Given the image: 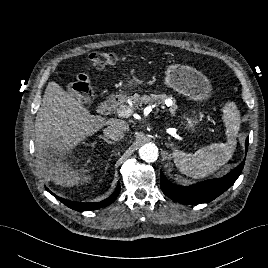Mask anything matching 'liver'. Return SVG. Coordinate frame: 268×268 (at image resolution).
Returning a JSON list of instances; mask_svg holds the SVG:
<instances>
[{
    "mask_svg": "<svg viewBox=\"0 0 268 268\" xmlns=\"http://www.w3.org/2000/svg\"><path fill=\"white\" fill-rule=\"evenodd\" d=\"M112 124H119L128 130L124 120H107L91 114L80 100L64 91L56 82H49L35 120V150L47 178L67 187L91 181L92 175L85 176L88 170L84 167L75 171L67 162L61 161L87 137ZM48 150H53L58 159L54 158L56 162H52L53 158L49 156L47 165L45 157L48 156Z\"/></svg>",
    "mask_w": 268,
    "mask_h": 268,
    "instance_id": "liver-1",
    "label": "liver"
}]
</instances>
